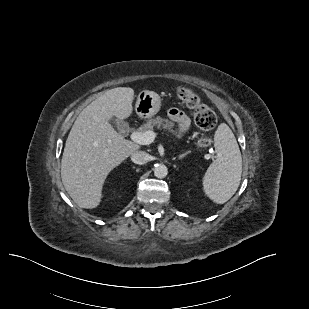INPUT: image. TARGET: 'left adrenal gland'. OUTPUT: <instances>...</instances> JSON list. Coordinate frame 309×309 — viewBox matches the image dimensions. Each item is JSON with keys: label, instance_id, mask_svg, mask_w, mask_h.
I'll return each instance as SVG.
<instances>
[{"label": "left adrenal gland", "instance_id": "left-adrenal-gland-1", "mask_svg": "<svg viewBox=\"0 0 309 309\" xmlns=\"http://www.w3.org/2000/svg\"><path fill=\"white\" fill-rule=\"evenodd\" d=\"M190 153V151H187V152H185V153H183V154H181V155H179V159H182L183 157H185L187 154H189Z\"/></svg>", "mask_w": 309, "mask_h": 309}]
</instances>
